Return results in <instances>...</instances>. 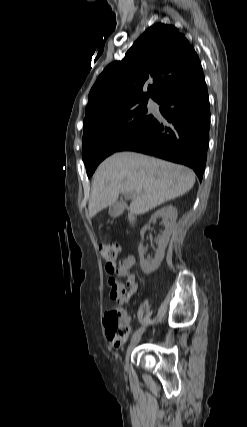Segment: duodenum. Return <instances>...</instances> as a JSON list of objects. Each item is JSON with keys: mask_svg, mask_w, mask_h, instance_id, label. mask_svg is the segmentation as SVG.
<instances>
[{"mask_svg": "<svg viewBox=\"0 0 247 427\" xmlns=\"http://www.w3.org/2000/svg\"><path fill=\"white\" fill-rule=\"evenodd\" d=\"M129 220H130V222H131L132 224H134V222H135V217H134L133 215H130V216H129Z\"/></svg>", "mask_w": 247, "mask_h": 427, "instance_id": "410a0bca", "label": "duodenum"}]
</instances>
